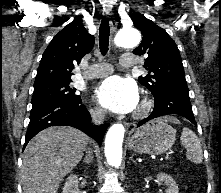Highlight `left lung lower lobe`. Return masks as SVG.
Returning a JSON list of instances; mask_svg holds the SVG:
<instances>
[{"label":"left lung lower lobe","mask_w":221,"mask_h":193,"mask_svg":"<svg viewBox=\"0 0 221 193\" xmlns=\"http://www.w3.org/2000/svg\"><path fill=\"white\" fill-rule=\"evenodd\" d=\"M154 100L155 105L152 113L147 118L141 120L138 123V127L149 120L169 114L181 115L197 126L187 86H172L167 88L160 96L155 97Z\"/></svg>","instance_id":"0a47b994"}]
</instances>
